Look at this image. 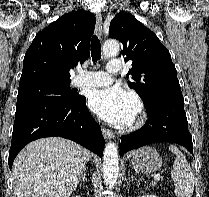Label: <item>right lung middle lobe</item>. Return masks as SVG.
<instances>
[{
	"label": "right lung middle lobe",
	"instance_id": "obj_1",
	"mask_svg": "<svg viewBox=\"0 0 209 197\" xmlns=\"http://www.w3.org/2000/svg\"><path fill=\"white\" fill-rule=\"evenodd\" d=\"M70 81H41L19 86L16 109L49 101H69L79 98L69 86Z\"/></svg>",
	"mask_w": 209,
	"mask_h": 197
}]
</instances>
